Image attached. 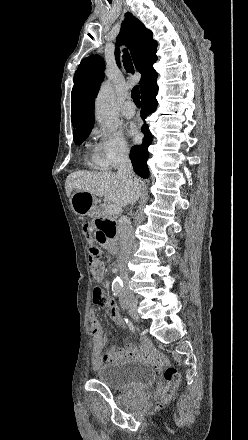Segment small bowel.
Returning <instances> with one entry per match:
<instances>
[{"label":"small bowel","mask_w":248,"mask_h":440,"mask_svg":"<svg viewBox=\"0 0 248 440\" xmlns=\"http://www.w3.org/2000/svg\"><path fill=\"white\" fill-rule=\"evenodd\" d=\"M100 290L102 291V289ZM102 293L104 294L103 291ZM93 299L94 303L99 305L110 318L116 322H120V316L117 309L114 307L113 303L106 298L105 294L103 299H97L94 294ZM89 322L93 343L91 363L94 369L100 368L105 364H111L126 359H146L156 366H160L164 363L163 355L156 350L146 336H141L140 343L138 345L127 343L126 347H114L108 352L104 353L106 336L96 316V313L93 310L89 314Z\"/></svg>","instance_id":"obj_1"}]
</instances>
